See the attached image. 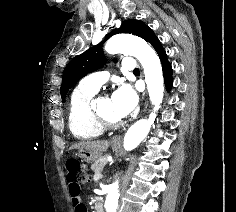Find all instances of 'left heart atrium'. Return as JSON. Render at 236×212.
Segmentation results:
<instances>
[{"label":"left heart atrium","instance_id":"obj_1","mask_svg":"<svg viewBox=\"0 0 236 212\" xmlns=\"http://www.w3.org/2000/svg\"><path fill=\"white\" fill-rule=\"evenodd\" d=\"M113 111L118 118L128 116L137 106V95L129 86H121L111 96Z\"/></svg>","mask_w":236,"mask_h":212}]
</instances>
